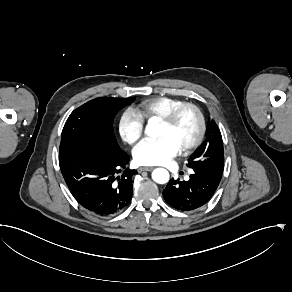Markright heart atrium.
I'll use <instances>...</instances> for the list:
<instances>
[{"mask_svg": "<svg viewBox=\"0 0 292 292\" xmlns=\"http://www.w3.org/2000/svg\"><path fill=\"white\" fill-rule=\"evenodd\" d=\"M145 130V120L138 111L132 107L125 108L118 120V133L121 139L133 145L139 141Z\"/></svg>", "mask_w": 292, "mask_h": 292, "instance_id": "obj_1", "label": "right heart atrium"}]
</instances>
